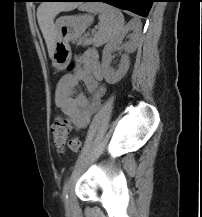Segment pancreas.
<instances>
[{
    "mask_svg": "<svg viewBox=\"0 0 202 217\" xmlns=\"http://www.w3.org/2000/svg\"><path fill=\"white\" fill-rule=\"evenodd\" d=\"M79 43H82L84 46H88L92 43V39L83 37L79 40Z\"/></svg>",
    "mask_w": 202,
    "mask_h": 217,
    "instance_id": "obj_1",
    "label": "pancreas"
}]
</instances>
